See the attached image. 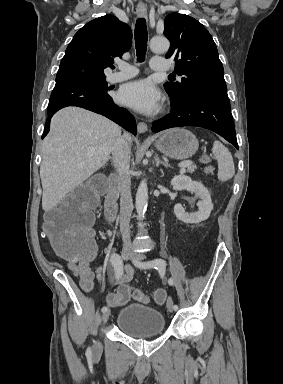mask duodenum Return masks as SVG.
<instances>
[{
	"label": "duodenum",
	"instance_id": "duodenum-1",
	"mask_svg": "<svg viewBox=\"0 0 283 384\" xmlns=\"http://www.w3.org/2000/svg\"><path fill=\"white\" fill-rule=\"evenodd\" d=\"M119 187L120 177L117 174H111L105 199V215L110 222H114L117 218Z\"/></svg>",
	"mask_w": 283,
	"mask_h": 384
}]
</instances>
